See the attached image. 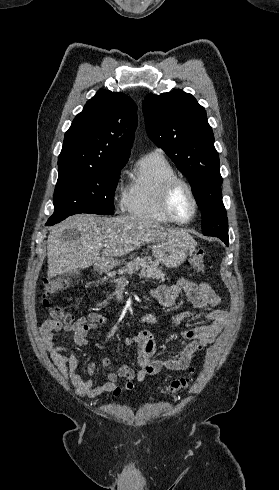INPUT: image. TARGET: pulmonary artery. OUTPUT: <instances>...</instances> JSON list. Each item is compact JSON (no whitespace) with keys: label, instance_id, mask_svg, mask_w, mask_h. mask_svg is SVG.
Segmentation results:
<instances>
[{"label":"pulmonary artery","instance_id":"1","mask_svg":"<svg viewBox=\"0 0 279 490\" xmlns=\"http://www.w3.org/2000/svg\"><path fill=\"white\" fill-rule=\"evenodd\" d=\"M153 152L163 154V151L159 148H156Z\"/></svg>","mask_w":279,"mask_h":490}]
</instances>
